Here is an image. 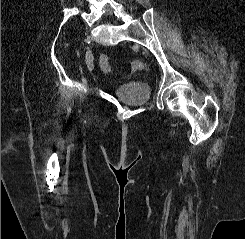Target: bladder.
<instances>
[{"instance_id": "1", "label": "bladder", "mask_w": 245, "mask_h": 239, "mask_svg": "<svg viewBox=\"0 0 245 239\" xmlns=\"http://www.w3.org/2000/svg\"><path fill=\"white\" fill-rule=\"evenodd\" d=\"M113 94L125 104L142 105L150 100L151 86L142 81L121 83L113 88Z\"/></svg>"}]
</instances>
